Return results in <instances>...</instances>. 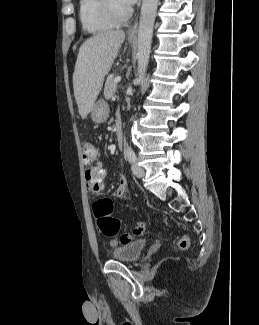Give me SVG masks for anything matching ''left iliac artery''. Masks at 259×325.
<instances>
[{
  "instance_id": "1",
  "label": "left iliac artery",
  "mask_w": 259,
  "mask_h": 325,
  "mask_svg": "<svg viewBox=\"0 0 259 325\" xmlns=\"http://www.w3.org/2000/svg\"><path fill=\"white\" fill-rule=\"evenodd\" d=\"M126 157L129 162L136 160V154H135L134 150L131 148V146H127V148H126Z\"/></svg>"
}]
</instances>
